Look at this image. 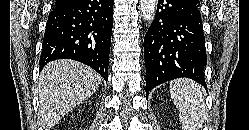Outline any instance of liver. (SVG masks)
I'll return each mask as SVG.
<instances>
[{"label": "liver", "mask_w": 249, "mask_h": 130, "mask_svg": "<svg viewBox=\"0 0 249 130\" xmlns=\"http://www.w3.org/2000/svg\"><path fill=\"white\" fill-rule=\"evenodd\" d=\"M102 82L92 68L73 60H55L41 72L38 84L39 120L53 128L69 111L89 98Z\"/></svg>", "instance_id": "6515ba94"}]
</instances>
